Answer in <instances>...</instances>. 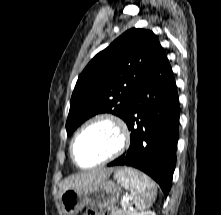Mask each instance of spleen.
<instances>
[{"label":"spleen","instance_id":"3e777b00","mask_svg":"<svg viewBox=\"0 0 221 215\" xmlns=\"http://www.w3.org/2000/svg\"><path fill=\"white\" fill-rule=\"evenodd\" d=\"M115 178L131 191L137 210H145L152 205L156 198V186L148 176L138 175L136 170L125 169L117 172Z\"/></svg>","mask_w":221,"mask_h":215}]
</instances>
